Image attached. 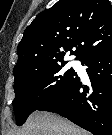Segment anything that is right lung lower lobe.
Here are the masks:
<instances>
[{
  "mask_svg": "<svg viewBox=\"0 0 112 135\" xmlns=\"http://www.w3.org/2000/svg\"><path fill=\"white\" fill-rule=\"evenodd\" d=\"M91 84L76 75L59 96L38 110L55 112L94 135H112V47L81 60Z\"/></svg>",
  "mask_w": 112,
  "mask_h": 135,
  "instance_id": "obj_1",
  "label": "right lung lower lobe"
}]
</instances>
